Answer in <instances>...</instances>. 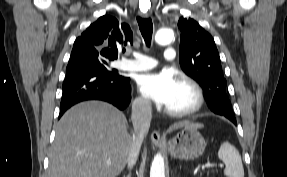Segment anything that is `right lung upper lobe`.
<instances>
[{
	"mask_svg": "<svg viewBox=\"0 0 287 177\" xmlns=\"http://www.w3.org/2000/svg\"><path fill=\"white\" fill-rule=\"evenodd\" d=\"M127 41L132 42L129 25L108 15L101 16L75 40L69 61L86 56L117 59L118 50Z\"/></svg>",
	"mask_w": 287,
	"mask_h": 177,
	"instance_id": "right-lung-upper-lobe-1",
	"label": "right lung upper lobe"
}]
</instances>
